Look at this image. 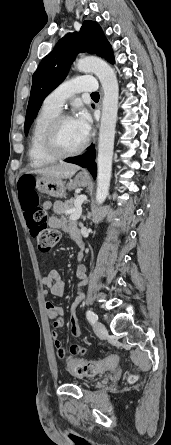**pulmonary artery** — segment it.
Returning a JSON list of instances; mask_svg holds the SVG:
<instances>
[{
    "mask_svg": "<svg viewBox=\"0 0 171 445\" xmlns=\"http://www.w3.org/2000/svg\"><path fill=\"white\" fill-rule=\"evenodd\" d=\"M97 89L95 78L79 76L65 81L55 88L45 99L44 104L60 111L65 102L74 94L80 92H95Z\"/></svg>",
    "mask_w": 171,
    "mask_h": 445,
    "instance_id": "1",
    "label": "pulmonary artery"
}]
</instances>
